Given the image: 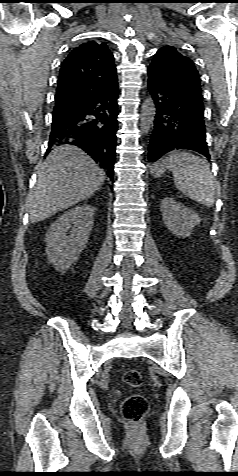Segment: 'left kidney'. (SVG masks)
<instances>
[{"label":"left kidney","mask_w":238,"mask_h":476,"mask_svg":"<svg viewBox=\"0 0 238 476\" xmlns=\"http://www.w3.org/2000/svg\"><path fill=\"white\" fill-rule=\"evenodd\" d=\"M160 209L165 225L177 236L188 237L192 229L200 223L199 215L195 211L176 202L173 198H164Z\"/></svg>","instance_id":"obj_1"}]
</instances>
